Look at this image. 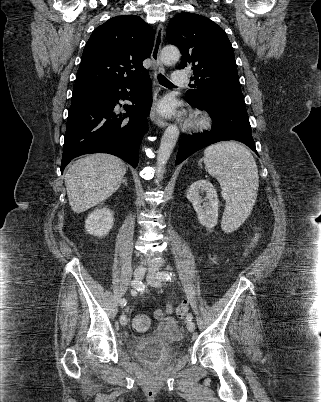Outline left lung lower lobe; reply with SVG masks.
Returning <instances> with one entry per match:
<instances>
[{"mask_svg": "<svg viewBox=\"0 0 321 402\" xmlns=\"http://www.w3.org/2000/svg\"><path fill=\"white\" fill-rule=\"evenodd\" d=\"M193 106L209 113L213 121L212 129L186 135L178 149L176 164L206 146L226 140L240 141L258 154L242 93L214 94L205 103Z\"/></svg>", "mask_w": 321, "mask_h": 402, "instance_id": "obj_1", "label": "left lung lower lobe"}]
</instances>
